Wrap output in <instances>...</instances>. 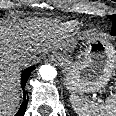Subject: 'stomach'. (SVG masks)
<instances>
[{
    "mask_svg": "<svg viewBox=\"0 0 116 116\" xmlns=\"http://www.w3.org/2000/svg\"><path fill=\"white\" fill-rule=\"evenodd\" d=\"M115 53L110 43L94 39L81 52V60L73 61L70 56H62L67 88L73 92H94L104 88L116 66Z\"/></svg>",
    "mask_w": 116,
    "mask_h": 116,
    "instance_id": "stomach-1",
    "label": "stomach"
}]
</instances>
